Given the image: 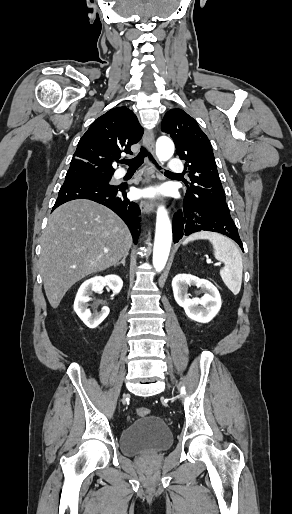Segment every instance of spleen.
I'll return each instance as SVG.
<instances>
[{"mask_svg":"<svg viewBox=\"0 0 292 514\" xmlns=\"http://www.w3.org/2000/svg\"><path fill=\"white\" fill-rule=\"evenodd\" d=\"M194 240H209L211 242L216 260L225 264L224 268L220 270V276L232 294L237 296L241 290L243 274V262L237 246L229 238L216 234V232H196V234H191L189 238H186L183 244L185 246V244L194 242Z\"/></svg>","mask_w":292,"mask_h":514,"instance_id":"obj_1","label":"spleen"}]
</instances>
